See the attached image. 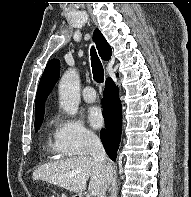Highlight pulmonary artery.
<instances>
[{"label":"pulmonary artery","mask_w":191,"mask_h":197,"mask_svg":"<svg viewBox=\"0 0 191 197\" xmlns=\"http://www.w3.org/2000/svg\"><path fill=\"white\" fill-rule=\"evenodd\" d=\"M82 97L85 102L87 103H93L96 101V93L95 90L92 87H86L84 88L82 92Z\"/></svg>","instance_id":"e3ab8cb5"}]
</instances>
